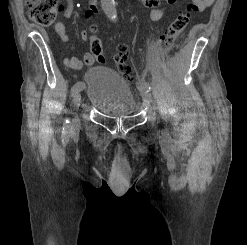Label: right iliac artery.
Segmentation results:
<instances>
[{
	"mask_svg": "<svg viewBox=\"0 0 247 245\" xmlns=\"http://www.w3.org/2000/svg\"><path fill=\"white\" fill-rule=\"evenodd\" d=\"M84 87V83L83 82H77L71 89V95H74L75 93L81 91ZM70 127V121L68 119H66L65 123H64V130H68Z\"/></svg>",
	"mask_w": 247,
	"mask_h": 245,
	"instance_id": "obj_1",
	"label": "right iliac artery"
}]
</instances>
